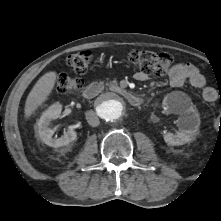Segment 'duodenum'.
<instances>
[{
	"instance_id": "obj_1",
	"label": "duodenum",
	"mask_w": 221,
	"mask_h": 221,
	"mask_svg": "<svg viewBox=\"0 0 221 221\" xmlns=\"http://www.w3.org/2000/svg\"><path fill=\"white\" fill-rule=\"evenodd\" d=\"M104 83L101 81H93L90 84L86 86V88L83 91V96L85 99H93L95 98L101 91L103 90ZM114 94L119 95L133 106H139L142 103V99L135 95L133 92L127 90V89H121V88H115Z\"/></svg>"
}]
</instances>
